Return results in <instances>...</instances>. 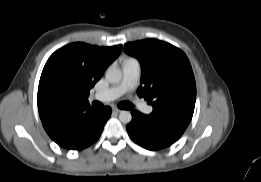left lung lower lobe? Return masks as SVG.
<instances>
[{"mask_svg":"<svg viewBox=\"0 0 261 182\" xmlns=\"http://www.w3.org/2000/svg\"><path fill=\"white\" fill-rule=\"evenodd\" d=\"M132 121L126 126L130 138L148 150H159L172 145L184 133L186 126L151 119L132 111Z\"/></svg>","mask_w":261,"mask_h":182,"instance_id":"left-lung-lower-lobe-1","label":"left lung lower lobe"}]
</instances>
